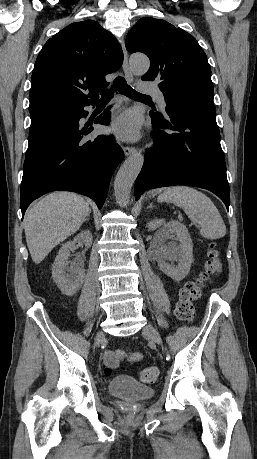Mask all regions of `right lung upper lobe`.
<instances>
[{"instance_id": "obj_1", "label": "right lung upper lobe", "mask_w": 257, "mask_h": 459, "mask_svg": "<svg viewBox=\"0 0 257 459\" xmlns=\"http://www.w3.org/2000/svg\"><path fill=\"white\" fill-rule=\"evenodd\" d=\"M122 62L119 43L98 22L68 25L45 43L36 59L30 114L97 100L98 92L109 85L105 76Z\"/></svg>"}]
</instances>
